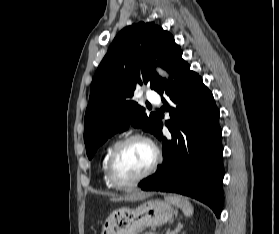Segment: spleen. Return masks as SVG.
<instances>
[{
	"mask_svg": "<svg viewBox=\"0 0 279 234\" xmlns=\"http://www.w3.org/2000/svg\"><path fill=\"white\" fill-rule=\"evenodd\" d=\"M165 200L167 202L181 208L186 217L192 216L193 206L191 205V203L187 199H185L183 197H180V196H177V195H172V196H167L165 198Z\"/></svg>",
	"mask_w": 279,
	"mask_h": 234,
	"instance_id": "spleen-1",
	"label": "spleen"
}]
</instances>
